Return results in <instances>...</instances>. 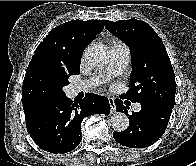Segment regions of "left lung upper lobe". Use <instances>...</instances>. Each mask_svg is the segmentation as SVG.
<instances>
[{
  "label": "left lung upper lobe",
  "instance_id": "1",
  "mask_svg": "<svg viewBox=\"0 0 196 166\" xmlns=\"http://www.w3.org/2000/svg\"><path fill=\"white\" fill-rule=\"evenodd\" d=\"M106 28L131 52L130 88L121 97L133 103L155 101L173 108L175 75L166 48L153 28L134 18L109 21Z\"/></svg>",
  "mask_w": 196,
  "mask_h": 166
}]
</instances>
